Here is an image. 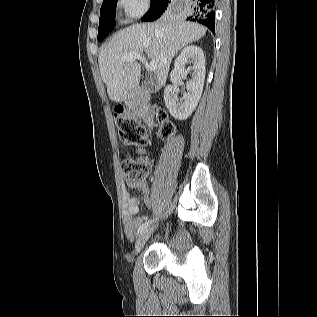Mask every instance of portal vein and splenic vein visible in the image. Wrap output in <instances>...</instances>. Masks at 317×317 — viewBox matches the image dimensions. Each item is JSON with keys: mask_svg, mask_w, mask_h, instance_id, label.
I'll return each instance as SVG.
<instances>
[{"mask_svg": "<svg viewBox=\"0 0 317 317\" xmlns=\"http://www.w3.org/2000/svg\"><path fill=\"white\" fill-rule=\"evenodd\" d=\"M136 59L140 60L145 65V67L150 71H155L157 69L156 61L152 60L148 63L145 57L137 52H130L122 58V60L126 62L135 61Z\"/></svg>", "mask_w": 317, "mask_h": 317, "instance_id": "portal-vein-and-splenic-vein-1", "label": "portal vein and splenic vein"}]
</instances>
